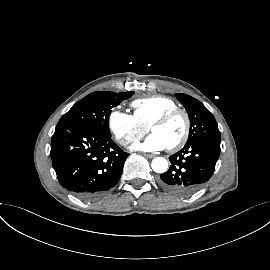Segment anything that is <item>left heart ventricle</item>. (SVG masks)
<instances>
[{
  "label": "left heart ventricle",
  "mask_w": 270,
  "mask_h": 270,
  "mask_svg": "<svg viewBox=\"0 0 270 270\" xmlns=\"http://www.w3.org/2000/svg\"><path fill=\"white\" fill-rule=\"evenodd\" d=\"M184 129V118L181 115H177L165 124L154 127L152 133L158 135L165 142L167 147H169L182 137Z\"/></svg>",
  "instance_id": "b2bd125f"
}]
</instances>
